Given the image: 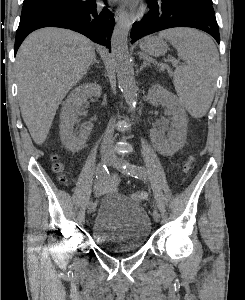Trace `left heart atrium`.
Returning <instances> with one entry per match:
<instances>
[{
    "instance_id": "1",
    "label": "left heart atrium",
    "mask_w": 245,
    "mask_h": 300,
    "mask_svg": "<svg viewBox=\"0 0 245 300\" xmlns=\"http://www.w3.org/2000/svg\"><path fill=\"white\" fill-rule=\"evenodd\" d=\"M123 1H131V0H123Z\"/></svg>"
}]
</instances>
